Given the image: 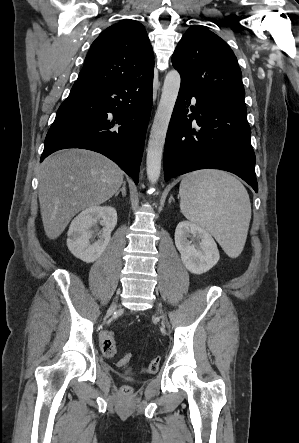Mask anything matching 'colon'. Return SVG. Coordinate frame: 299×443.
<instances>
[{
    "label": "colon",
    "mask_w": 299,
    "mask_h": 443,
    "mask_svg": "<svg viewBox=\"0 0 299 443\" xmlns=\"http://www.w3.org/2000/svg\"><path fill=\"white\" fill-rule=\"evenodd\" d=\"M101 348L103 353L107 357H113L116 353V340L113 332L106 331L102 333L100 338ZM132 363V356L130 353H125L118 361V365L121 367H129ZM160 360L159 358L151 359L144 370L149 373H154L159 369ZM122 392L125 395H129L132 392V387L130 385H124L122 387Z\"/></svg>",
    "instance_id": "obj_1"
}]
</instances>
